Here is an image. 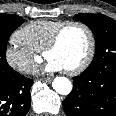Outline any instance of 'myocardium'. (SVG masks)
<instances>
[{
    "label": "myocardium",
    "mask_w": 116,
    "mask_h": 116,
    "mask_svg": "<svg viewBox=\"0 0 116 116\" xmlns=\"http://www.w3.org/2000/svg\"><path fill=\"white\" fill-rule=\"evenodd\" d=\"M73 26H78V27H81L83 30H85V32L88 35L89 46H88L87 54L85 58L83 59V61L80 64H78L76 67L65 70V73L68 75L79 74L83 72L91 64L94 58V55H95V51H96V39H95L93 30L87 24L80 22V21L65 22L54 32L50 42L44 49V55L54 50L58 46L63 33L68 28L73 27Z\"/></svg>",
    "instance_id": "myocardium-1"
}]
</instances>
